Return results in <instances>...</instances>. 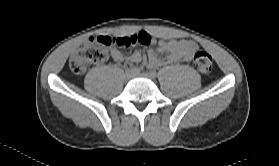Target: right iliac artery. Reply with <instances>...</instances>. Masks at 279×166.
Wrapping results in <instances>:
<instances>
[{
  "label": "right iliac artery",
  "instance_id": "right-iliac-artery-1",
  "mask_svg": "<svg viewBox=\"0 0 279 166\" xmlns=\"http://www.w3.org/2000/svg\"><path fill=\"white\" fill-rule=\"evenodd\" d=\"M131 71L134 72L135 74L140 73V69L138 67H133Z\"/></svg>",
  "mask_w": 279,
  "mask_h": 166
}]
</instances>
